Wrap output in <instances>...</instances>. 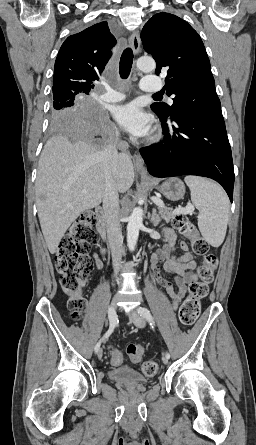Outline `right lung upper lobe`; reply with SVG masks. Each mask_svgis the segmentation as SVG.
<instances>
[{
  "label": "right lung upper lobe",
  "mask_w": 256,
  "mask_h": 445,
  "mask_svg": "<svg viewBox=\"0 0 256 445\" xmlns=\"http://www.w3.org/2000/svg\"><path fill=\"white\" fill-rule=\"evenodd\" d=\"M116 45L107 22L97 23L69 36L62 44L54 66L53 95L93 89Z\"/></svg>",
  "instance_id": "1"
}]
</instances>
